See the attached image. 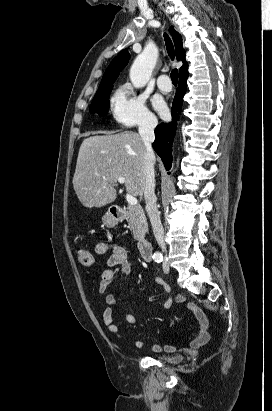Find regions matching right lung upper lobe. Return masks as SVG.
I'll return each instance as SVG.
<instances>
[{"mask_svg":"<svg viewBox=\"0 0 272 411\" xmlns=\"http://www.w3.org/2000/svg\"><path fill=\"white\" fill-rule=\"evenodd\" d=\"M171 32V36L175 43L176 48V58L178 60H182L183 65L180 68V76L188 74V65L185 60V51L182 47V38L180 34L174 30L173 27L169 29ZM130 59V54L128 53L127 49L121 51L109 64L108 68L106 69L102 81L99 85V89L109 86L114 83L117 79L120 71L127 65L128 60Z\"/></svg>","mask_w":272,"mask_h":411,"instance_id":"right-lung-upper-lobe-1","label":"right lung upper lobe"}]
</instances>
